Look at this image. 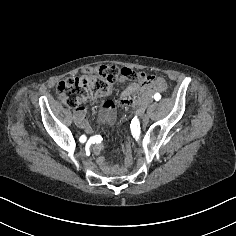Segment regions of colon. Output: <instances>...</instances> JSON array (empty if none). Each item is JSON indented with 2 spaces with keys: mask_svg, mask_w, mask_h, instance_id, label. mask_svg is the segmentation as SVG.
Returning a JSON list of instances; mask_svg holds the SVG:
<instances>
[{
  "mask_svg": "<svg viewBox=\"0 0 236 236\" xmlns=\"http://www.w3.org/2000/svg\"><path fill=\"white\" fill-rule=\"evenodd\" d=\"M125 76L131 80H149L152 76H141L139 72L128 68L119 69L115 66L100 65L87 67L77 77H68L57 85L58 98L69 108L77 107L81 102L104 96L111 92L117 78ZM125 163L132 164L131 143L127 138L123 141Z\"/></svg>",
  "mask_w": 236,
  "mask_h": 236,
  "instance_id": "colon-1",
  "label": "colon"
}]
</instances>
